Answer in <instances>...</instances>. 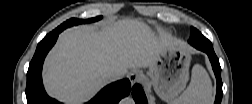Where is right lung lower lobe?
<instances>
[{"mask_svg":"<svg viewBox=\"0 0 252 104\" xmlns=\"http://www.w3.org/2000/svg\"><path fill=\"white\" fill-rule=\"evenodd\" d=\"M63 30L55 29L39 42L27 72L26 98L28 104H60L50 98L43 87L41 71L45 56L55 44L58 35ZM131 83L128 79L114 82L103 88L87 104H117L123 97L128 96Z\"/></svg>","mask_w":252,"mask_h":104,"instance_id":"obj_1","label":"right lung lower lobe"}]
</instances>
